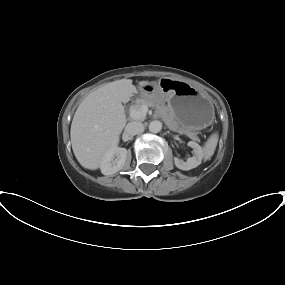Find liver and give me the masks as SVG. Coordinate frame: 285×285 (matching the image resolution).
Masks as SVG:
<instances>
[{
	"mask_svg": "<svg viewBox=\"0 0 285 285\" xmlns=\"http://www.w3.org/2000/svg\"><path fill=\"white\" fill-rule=\"evenodd\" d=\"M131 79H120L91 92L78 106L70 136L74 155L86 169L96 170L107 150L117 144L126 125L122 103L130 101L136 87ZM148 81H140L144 86Z\"/></svg>",
	"mask_w": 285,
	"mask_h": 285,
	"instance_id": "liver-1",
	"label": "liver"
}]
</instances>
